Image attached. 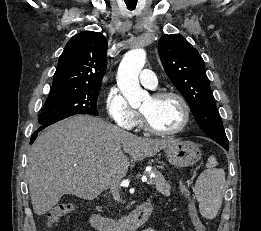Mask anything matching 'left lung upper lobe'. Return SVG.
I'll use <instances>...</instances> for the list:
<instances>
[{
	"instance_id": "1",
	"label": "left lung upper lobe",
	"mask_w": 261,
	"mask_h": 231,
	"mask_svg": "<svg viewBox=\"0 0 261 231\" xmlns=\"http://www.w3.org/2000/svg\"><path fill=\"white\" fill-rule=\"evenodd\" d=\"M158 50L166 74L183 94L200 128L212 139L228 142L198 51L181 35H163Z\"/></svg>"
}]
</instances>
